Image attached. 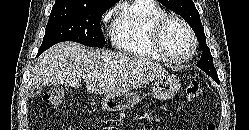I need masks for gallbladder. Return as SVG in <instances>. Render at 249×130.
I'll return each mask as SVG.
<instances>
[{
    "instance_id": "1",
    "label": "gallbladder",
    "mask_w": 249,
    "mask_h": 130,
    "mask_svg": "<svg viewBox=\"0 0 249 130\" xmlns=\"http://www.w3.org/2000/svg\"><path fill=\"white\" fill-rule=\"evenodd\" d=\"M42 91H43L42 86L33 85V86H31L30 89H29V94H28V96H29V97H35V96L39 95Z\"/></svg>"
}]
</instances>
